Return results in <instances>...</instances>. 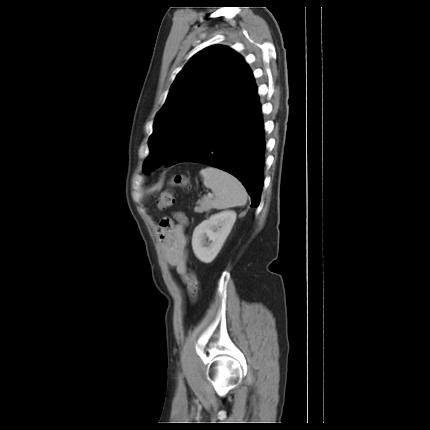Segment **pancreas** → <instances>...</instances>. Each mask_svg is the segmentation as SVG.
<instances>
[{
  "mask_svg": "<svg viewBox=\"0 0 430 430\" xmlns=\"http://www.w3.org/2000/svg\"><path fill=\"white\" fill-rule=\"evenodd\" d=\"M196 204L197 206L194 208L196 213L208 212L212 208V201L209 198H202Z\"/></svg>",
  "mask_w": 430,
  "mask_h": 430,
  "instance_id": "obj_1",
  "label": "pancreas"
}]
</instances>
